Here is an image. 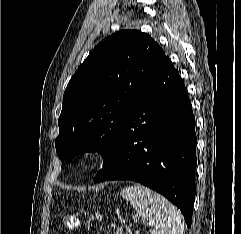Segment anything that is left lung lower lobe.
Instances as JSON below:
<instances>
[{"label":"left lung lower lobe","instance_id":"left-lung-lower-lobe-1","mask_svg":"<svg viewBox=\"0 0 241 234\" xmlns=\"http://www.w3.org/2000/svg\"><path fill=\"white\" fill-rule=\"evenodd\" d=\"M196 142L186 88L164 56L130 106L116 146L94 182H139L175 204L190 227L196 193Z\"/></svg>","mask_w":241,"mask_h":234}]
</instances>
